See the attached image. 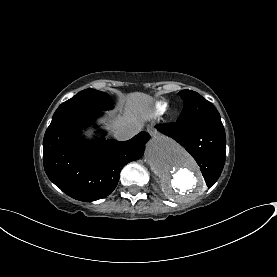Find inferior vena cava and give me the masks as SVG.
I'll return each mask as SVG.
<instances>
[{
    "instance_id": "obj_1",
    "label": "inferior vena cava",
    "mask_w": 277,
    "mask_h": 277,
    "mask_svg": "<svg viewBox=\"0 0 277 277\" xmlns=\"http://www.w3.org/2000/svg\"><path fill=\"white\" fill-rule=\"evenodd\" d=\"M114 131V135L117 140L126 141L133 138L141 131V125H127L120 128H116Z\"/></svg>"
}]
</instances>
